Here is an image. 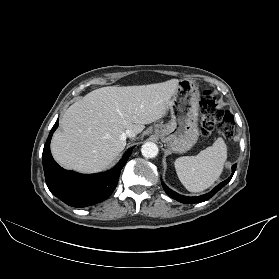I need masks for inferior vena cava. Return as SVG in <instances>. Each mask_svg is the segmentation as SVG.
Segmentation results:
<instances>
[{"label":"inferior vena cava","instance_id":"obj_1","mask_svg":"<svg viewBox=\"0 0 279 279\" xmlns=\"http://www.w3.org/2000/svg\"><path fill=\"white\" fill-rule=\"evenodd\" d=\"M125 134H126V137H129V138H133L136 136V132L133 130H127Z\"/></svg>","mask_w":279,"mask_h":279}]
</instances>
